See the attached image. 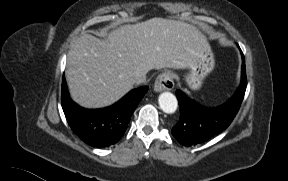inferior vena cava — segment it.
Segmentation results:
<instances>
[{
	"label": "inferior vena cava",
	"instance_id": "obj_1",
	"mask_svg": "<svg viewBox=\"0 0 288 181\" xmlns=\"http://www.w3.org/2000/svg\"><path fill=\"white\" fill-rule=\"evenodd\" d=\"M134 83L137 84V85L146 84L147 83V78H146V76H141V77L137 78L134 81Z\"/></svg>",
	"mask_w": 288,
	"mask_h": 181
}]
</instances>
